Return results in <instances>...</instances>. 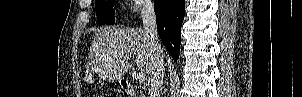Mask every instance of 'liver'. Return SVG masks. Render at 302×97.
I'll return each instance as SVG.
<instances>
[{"label": "liver", "instance_id": "liver-1", "mask_svg": "<svg viewBox=\"0 0 302 97\" xmlns=\"http://www.w3.org/2000/svg\"><path fill=\"white\" fill-rule=\"evenodd\" d=\"M150 74L153 49L150 38L142 28H105L90 47L87 70L98 72L110 81L120 80L130 68V59Z\"/></svg>", "mask_w": 302, "mask_h": 97}]
</instances>
